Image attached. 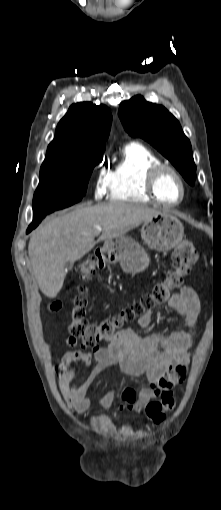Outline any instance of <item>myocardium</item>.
I'll list each match as a JSON object with an SVG mask.
<instances>
[{
    "label": "myocardium",
    "mask_w": 221,
    "mask_h": 510,
    "mask_svg": "<svg viewBox=\"0 0 221 510\" xmlns=\"http://www.w3.org/2000/svg\"><path fill=\"white\" fill-rule=\"evenodd\" d=\"M164 172L172 173L177 178V180L179 181V183L181 185L182 196H181L180 200L177 202H174V203L165 202L159 197V195L157 193L156 184H157L158 179ZM144 186H145V190H146L148 196L156 204L163 206V207H167V208L176 207V206L180 205L181 203L184 202V200L187 196V185H186L184 178L182 177L180 172L175 167H173L169 164H166V163H159V164L153 165L152 167H150L147 170Z\"/></svg>",
    "instance_id": "myocardium-1"
}]
</instances>
